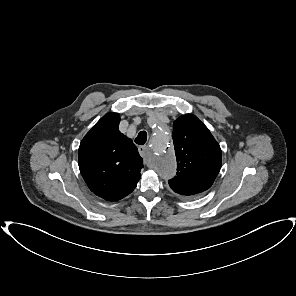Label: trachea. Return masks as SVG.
Segmentation results:
<instances>
[{
    "label": "trachea",
    "instance_id": "obj_1",
    "mask_svg": "<svg viewBox=\"0 0 296 296\" xmlns=\"http://www.w3.org/2000/svg\"><path fill=\"white\" fill-rule=\"evenodd\" d=\"M147 141V133L145 131L139 132L138 136L135 138V143L138 145H144Z\"/></svg>",
    "mask_w": 296,
    "mask_h": 296
}]
</instances>
